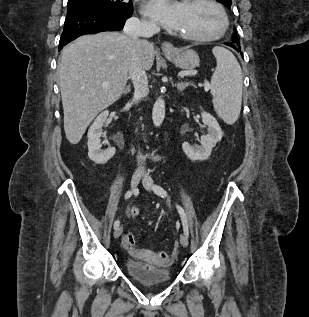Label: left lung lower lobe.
Segmentation results:
<instances>
[{"label": "left lung lower lobe", "instance_id": "0a47b994", "mask_svg": "<svg viewBox=\"0 0 309 317\" xmlns=\"http://www.w3.org/2000/svg\"><path fill=\"white\" fill-rule=\"evenodd\" d=\"M225 44L228 45V46H231L232 48H234L235 50H237L239 52V50L234 45H232L230 43H225Z\"/></svg>", "mask_w": 309, "mask_h": 317}]
</instances>
